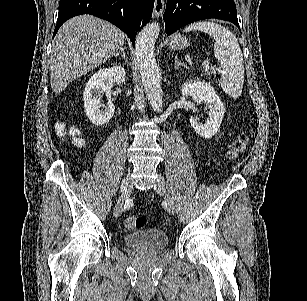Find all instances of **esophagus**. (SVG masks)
I'll use <instances>...</instances> for the list:
<instances>
[{
	"instance_id": "esophagus-1",
	"label": "esophagus",
	"mask_w": 307,
	"mask_h": 301,
	"mask_svg": "<svg viewBox=\"0 0 307 301\" xmlns=\"http://www.w3.org/2000/svg\"><path fill=\"white\" fill-rule=\"evenodd\" d=\"M164 10V0H155L152 18H159Z\"/></svg>"
}]
</instances>
